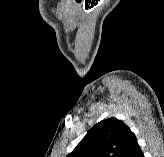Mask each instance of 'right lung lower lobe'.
Returning a JSON list of instances; mask_svg holds the SVG:
<instances>
[{
	"instance_id": "obj_1",
	"label": "right lung lower lobe",
	"mask_w": 164,
	"mask_h": 157,
	"mask_svg": "<svg viewBox=\"0 0 164 157\" xmlns=\"http://www.w3.org/2000/svg\"><path fill=\"white\" fill-rule=\"evenodd\" d=\"M124 157H144L137 140L131 145L129 151Z\"/></svg>"
}]
</instances>
